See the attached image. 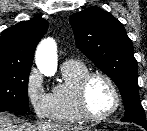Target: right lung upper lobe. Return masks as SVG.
<instances>
[{
    "mask_svg": "<svg viewBox=\"0 0 147 131\" xmlns=\"http://www.w3.org/2000/svg\"><path fill=\"white\" fill-rule=\"evenodd\" d=\"M48 29L43 18L23 21L0 36V67L31 68L34 51Z\"/></svg>",
    "mask_w": 147,
    "mask_h": 131,
    "instance_id": "right-lung-upper-lobe-1",
    "label": "right lung upper lobe"
}]
</instances>
